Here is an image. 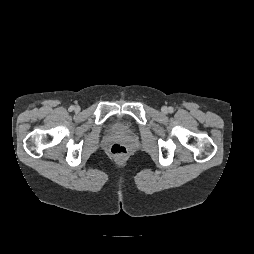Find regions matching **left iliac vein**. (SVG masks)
Wrapping results in <instances>:
<instances>
[{
    "mask_svg": "<svg viewBox=\"0 0 254 254\" xmlns=\"http://www.w3.org/2000/svg\"><path fill=\"white\" fill-rule=\"evenodd\" d=\"M162 111L165 113V112H167V108L166 107H163L162 108Z\"/></svg>",
    "mask_w": 254,
    "mask_h": 254,
    "instance_id": "4c4485c4",
    "label": "left iliac vein"
}]
</instances>
